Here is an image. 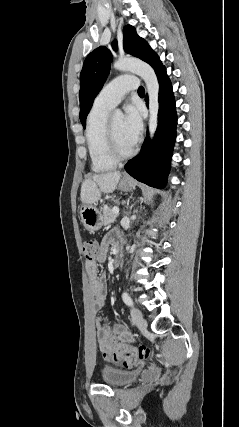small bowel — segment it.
<instances>
[{
  "label": "small bowel",
  "instance_id": "c3829d8e",
  "mask_svg": "<svg viewBox=\"0 0 239 427\" xmlns=\"http://www.w3.org/2000/svg\"><path fill=\"white\" fill-rule=\"evenodd\" d=\"M118 243H121L119 232L116 230L109 232L101 242L96 261L86 263V273L89 283V307L91 313L96 317L97 341L103 357L107 361L114 360L111 341L131 342L133 340L131 331L123 324L106 325L102 323L98 316L104 306L106 286L105 277L98 274L97 262H103L106 259L108 248L110 246L115 247Z\"/></svg>",
  "mask_w": 239,
  "mask_h": 427
}]
</instances>
